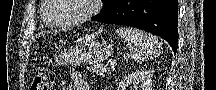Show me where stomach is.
<instances>
[{"label":"stomach","mask_w":216,"mask_h":90,"mask_svg":"<svg viewBox=\"0 0 216 90\" xmlns=\"http://www.w3.org/2000/svg\"><path fill=\"white\" fill-rule=\"evenodd\" d=\"M113 53L112 46L107 42H91L84 46L71 50L59 61L72 64H96L107 59Z\"/></svg>","instance_id":"1"}]
</instances>
